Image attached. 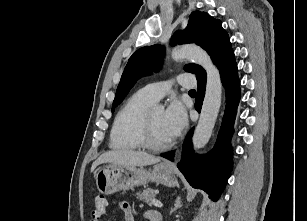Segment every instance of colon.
<instances>
[{"instance_id": "colon-1", "label": "colon", "mask_w": 307, "mask_h": 221, "mask_svg": "<svg viewBox=\"0 0 307 221\" xmlns=\"http://www.w3.org/2000/svg\"><path fill=\"white\" fill-rule=\"evenodd\" d=\"M108 201L105 196L99 195L95 198L93 216L100 218L106 214Z\"/></svg>"}]
</instances>
